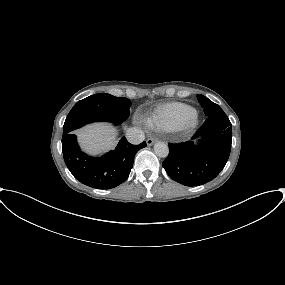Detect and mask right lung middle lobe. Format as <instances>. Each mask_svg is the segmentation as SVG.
I'll return each mask as SVG.
<instances>
[{
	"instance_id": "dd1d6c3e",
	"label": "right lung middle lobe",
	"mask_w": 285,
	"mask_h": 285,
	"mask_svg": "<svg viewBox=\"0 0 285 285\" xmlns=\"http://www.w3.org/2000/svg\"><path fill=\"white\" fill-rule=\"evenodd\" d=\"M130 106L131 101L125 97L107 93L91 95L78 101L71 109L63 126V135L92 122L120 124L128 118Z\"/></svg>"
}]
</instances>
